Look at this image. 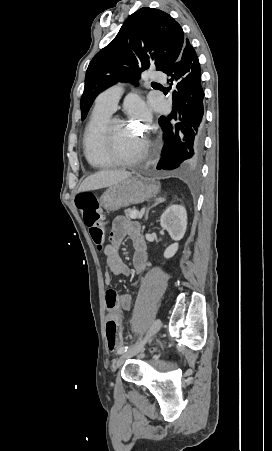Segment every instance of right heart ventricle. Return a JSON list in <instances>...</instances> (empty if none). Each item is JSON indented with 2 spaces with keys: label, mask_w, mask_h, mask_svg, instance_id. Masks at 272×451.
<instances>
[{
  "label": "right heart ventricle",
  "mask_w": 272,
  "mask_h": 451,
  "mask_svg": "<svg viewBox=\"0 0 272 451\" xmlns=\"http://www.w3.org/2000/svg\"><path fill=\"white\" fill-rule=\"evenodd\" d=\"M131 101L127 99L125 104ZM111 110L101 108L95 105L94 111L92 113L91 119L84 135V150L85 157L88 163L94 168H102L109 164L110 160L108 158L104 143L100 141L99 134L106 122V120L111 115Z\"/></svg>",
  "instance_id": "right-heart-ventricle-1"
}]
</instances>
